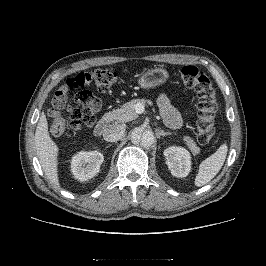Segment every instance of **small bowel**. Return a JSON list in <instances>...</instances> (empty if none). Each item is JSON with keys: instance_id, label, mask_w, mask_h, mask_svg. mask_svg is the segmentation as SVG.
Wrapping results in <instances>:
<instances>
[{"instance_id": "c3829d8e", "label": "small bowel", "mask_w": 266, "mask_h": 266, "mask_svg": "<svg viewBox=\"0 0 266 266\" xmlns=\"http://www.w3.org/2000/svg\"><path fill=\"white\" fill-rule=\"evenodd\" d=\"M158 105L165 122L172 128L181 126V117L177 110L172 106L169 96L162 94L158 99Z\"/></svg>"}]
</instances>
